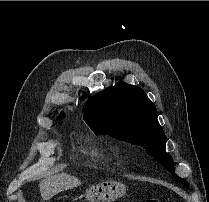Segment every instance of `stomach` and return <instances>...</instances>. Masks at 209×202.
<instances>
[{
  "label": "stomach",
  "mask_w": 209,
  "mask_h": 202,
  "mask_svg": "<svg viewBox=\"0 0 209 202\" xmlns=\"http://www.w3.org/2000/svg\"><path fill=\"white\" fill-rule=\"evenodd\" d=\"M126 193V186L117 181H105L92 185L85 192L88 202H112L123 197Z\"/></svg>",
  "instance_id": "0dacf381"
}]
</instances>
